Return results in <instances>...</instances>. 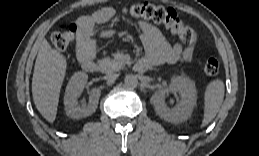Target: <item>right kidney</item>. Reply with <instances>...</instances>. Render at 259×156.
I'll use <instances>...</instances> for the list:
<instances>
[{"label": "right kidney", "instance_id": "1", "mask_svg": "<svg viewBox=\"0 0 259 156\" xmlns=\"http://www.w3.org/2000/svg\"><path fill=\"white\" fill-rule=\"evenodd\" d=\"M88 80V75L85 72H76L71 77L64 96V106L67 115L74 119H80L92 115L98 106L101 91L99 88H93L90 91L89 102L82 105L78 102V97L81 95L84 86Z\"/></svg>", "mask_w": 259, "mask_h": 156}]
</instances>
